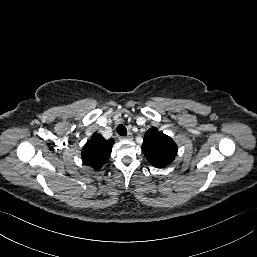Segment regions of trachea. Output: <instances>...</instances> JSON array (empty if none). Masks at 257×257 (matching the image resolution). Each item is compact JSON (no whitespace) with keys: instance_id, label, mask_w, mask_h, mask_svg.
I'll use <instances>...</instances> for the list:
<instances>
[{"instance_id":"trachea-1","label":"trachea","mask_w":257,"mask_h":257,"mask_svg":"<svg viewBox=\"0 0 257 257\" xmlns=\"http://www.w3.org/2000/svg\"><path fill=\"white\" fill-rule=\"evenodd\" d=\"M117 133L120 136H126L127 135V129L124 125L120 124L117 126Z\"/></svg>"}]
</instances>
